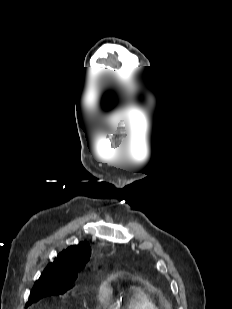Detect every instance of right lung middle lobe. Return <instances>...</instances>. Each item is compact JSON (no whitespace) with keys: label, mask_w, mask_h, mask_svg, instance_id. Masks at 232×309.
<instances>
[{"label":"right lung middle lobe","mask_w":232,"mask_h":309,"mask_svg":"<svg viewBox=\"0 0 232 309\" xmlns=\"http://www.w3.org/2000/svg\"><path fill=\"white\" fill-rule=\"evenodd\" d=\"M72 281H37L31 290L26 307L49 295L63 294L71 288Z\"/></svg>","instance_id":"right-lung-middle-lobe-1"}]
</instances>
